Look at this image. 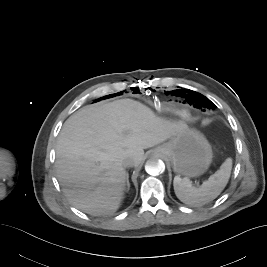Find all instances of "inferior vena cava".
<instances>
[{
  "instance_id": "602c4592",
  "label": "inferior vena cava",
  "mask_w": 267,
  "mask_h": 267,
  "mask_svg": "<svg viewBox=\"0 0 267 267\" xmlns=\"http://www.w3.org/2000/svg\"><path fill=\"white\" fill-rule=\"evenodd\" d=\"M123 166L124 167H132V166H134V161L131 159H125L123 161Z\"/></svg>"
}]
</instances>
